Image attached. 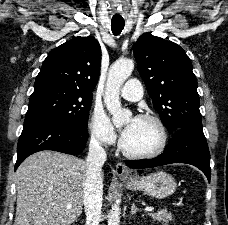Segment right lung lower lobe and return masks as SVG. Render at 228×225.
Here are the masks:
<instances>
[{
	"label": "right lung lower lobe",
	"instance_id": "right-lung-lower-lobe-1",
	"mask_svg": "<svg viewBox=\"0 0 228 225\" xmlns=\"http://www.w3.org/2000/svg\"><path fill=\"white\" fill-rule=\"evenodd\" d=\"M87 139V128L64 119L41 117L25 120L18 141L15 170L25 158L38 151L78 153L85 148Z\"/></svg>",
	"mask_w": 228,
	"mask_h": 225
}]
</instances>
